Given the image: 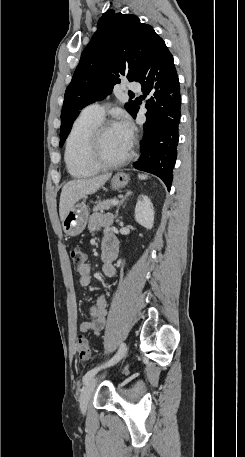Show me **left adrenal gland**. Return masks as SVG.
Here are the masks:
<instances>
[{
    "label": "left adrenal gland",
    "instance_id": "obj_1",
    "mask_svg": "<svg viewBox=\"0 0 245 457\" xmlns=\"http://www.w3.org/2000/svg\"><path fill=\"white\" fill-rule=\"evenodd\" d=\"M129 194H132V190H126L124 198H122V200H120V202L117 206V210L115 212V218H118L119 208H120L121 204H123L125 198H127V196H129Z\"/></svg>",
    "mask_w": 245,
    "mask_h": 457
}]
</instances>
